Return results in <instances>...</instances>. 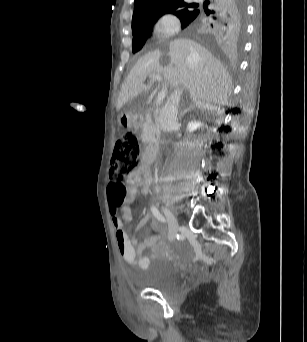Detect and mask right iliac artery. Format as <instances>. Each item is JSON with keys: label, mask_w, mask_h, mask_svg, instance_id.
Wrapping results in <instances>:
<instances>
[{"label": "right iliac artery", "mask_w": 307, "mask_h": 342, "mask_svg": "<svg viewBox=\"0 0 307 342\" xmlns=\"http://www.w3.org/2000/svg\"><path fill=\"white\" fill-rule=\"evenodd\" d=\"M151 211H152L153 215H154L160 222L165 223V222L167 221L166 218H165L162 214L159 213V211L157 210L156 207L152 206V207H151Z\"/></svg>", "instance_id": "1"}]
</instances>
